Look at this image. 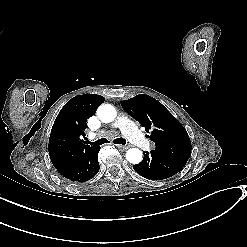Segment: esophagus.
<instances>
[{
    "label": "esophagus",
    "mask_w": 247,
    "mask_h": 247,
    "mask_svg": "<svg viewBox=\"0 0 247 247\" xmlns=\"http://www.w3.org/2000/svg\"><path fill=\"white\" fill-rule=\"evenodd\" d=\"M117 148H118L119 150H121V151H125V150L128 149L127 146H122V145H118Z\"/></svg>",
    "instance_id": "esophagus-1"
}]
</instances>
